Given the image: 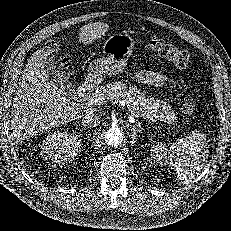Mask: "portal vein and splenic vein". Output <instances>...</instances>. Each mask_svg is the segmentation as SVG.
<instances>
[{
	"label": "portal vein and splenic vein",
	"mask_w": 231,
	"mask_h": 231,
	"mask_svg": "<svg viewBox=\"0 0 231 231\" xmlns=\"http://www.w3.org/2000/svg\"><path fill=\"white\" fill-rule=\"evenodd\" d=\"M87 101L92 105H101V104L104 103V97H102V96H93V97L87 98ZM142 117L150 118L146 114H143ZM129 122H132V123L135 122V119L133 118V116L129 117Z\"/></svg>",
	"instance_id": "portal-vein-and-splenic-vein-1"
}]
</instances>
